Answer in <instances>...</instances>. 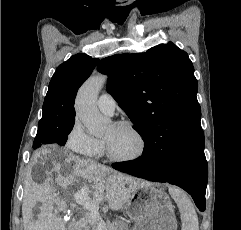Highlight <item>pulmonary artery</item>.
I'll return each instance as SVG.
<instances>
[{
    "label": "pulmonary artery",
    "mask_w": 241,
    "mask_h": 230,
    "mask_svg": "<svg viewBox=\"0 0 241 230\" xmlns=\"http://www.w3.org/2000/svg\"><path fill=\"white\" fill-rule=\"evenodd\" d=\"M97 106L101 112L112 115L116 107V102L112 95L103 93L97 100Z\"/></svg>",
    "instance_id": "1"
}]
</instances>
